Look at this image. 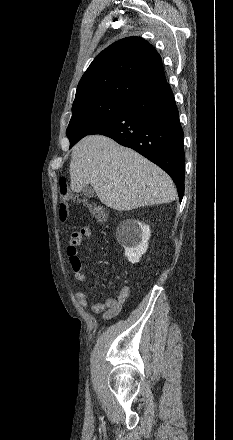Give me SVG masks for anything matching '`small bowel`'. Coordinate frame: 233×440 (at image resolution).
Masks as SVG:
<instances>
[{"mask_svg": "<svg viewBox=\"0 0 233 440\" xmlns=\"http://www.w3.org/2000/svg\"><path fill=\"white\" fill-rule=\"evenodd\" d=\"M91 237L92 229L88 226H84L71 235L69 245L67 247V255L69 256L74 278L80 282L87 281V277L83 271V266L79 257L80 246L83 239ZM108 284L109 286L118 287V295L116 297L106 296L102 301H97L91 306V313L93 315H98L103 312L104 319H111L117 316L130 293V289L127 285H118L112 281L108 282ZM75 297L82 308L87 307L88 299L87 294L84 291L76 292Z\"/></svg>", "mask_w": 233, "mask_h": 440, "instance_id": "c3829d8e", "label": "small bowel"}]
</instances>
